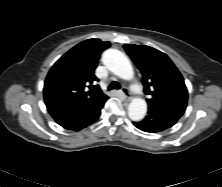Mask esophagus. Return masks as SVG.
I'll use <instances>...</instances> for the list:
<instances>
[{"label": "esophagus", "mask_w": 222, "mask_h": 187, "mask_svg": "<svg viewBox=\"0 0 222 187\" xmlns=\"http://www.w3.org/2000/svg\"><path fill=\"white\" fill-rule=\"evenodd\" d=\"M122 96H123L124 100H126V101H129L131 99L130 92L128 91V89L126 87H123V89H122Z\"/></svg>", "instance_id": "34e87169"}]
</instances>
